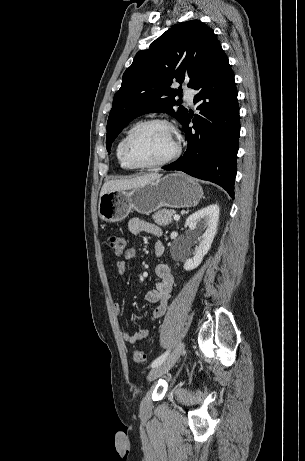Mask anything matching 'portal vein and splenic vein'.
Returning a JSON list of instances; mask_svg holds the SVG:
<instances>
[{
  "instance_id": "1",
  "label": "portal vein and splenic vein",
  "mask_w": 305,
  "mask_h": 461,
  "mask_svg": "<svg viewBox=\"0 0 305 461\" xmlns=\"http://www.w3.org/2000/svg\"><path fill=\"white\" fill-rule=\"evenodd\" d=\"M173 218H174L175 221H179V220H180V216L177 215V214H174Z\"/></svg>"
}]
</instances>
